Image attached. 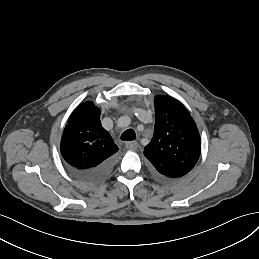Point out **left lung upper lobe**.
<instances>
[{"label": "left lung upper lobe", "mask_w": 259, "mask_h": 259, "mask_svg": "<svg viewBox=\"0 0 259 259\" xmlns=\"http://www.w3.org/2000/svg\"><path fill=\"white\" fill-rule=\"evenodd\" d=\"M155 126L145 157L160 176L175 180L189 173L201 153L197 126L185 107L176 99L155 97Z\"/></svg>", "instance_id": "5c2ea615"}]
</instances>
